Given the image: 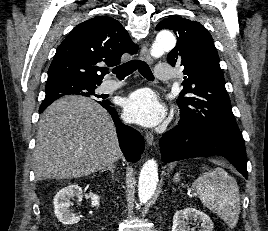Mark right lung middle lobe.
<instances>
[{
	"mask_svg": "<svg viewBox=\"0 0 268 231\" xmlns=\"http://www.w3.org/2000/svg\"><path fill=\"white\" fill-rule=\"evenodd\" d=\"M98 85L70 80L56 81L46 84V96L44 100H56L64 95H83L98 97L94 90Z\"/></svg>",
	"mask_w": 268,
	"mask_h": 231,
	"instance_id": "obj_1",
	"label": "right lung middle lobe"
}]
</instances>
